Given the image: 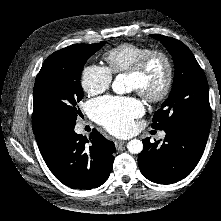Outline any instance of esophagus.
Instances as JSON below:
<instances>
[{
    "mask_svg": "<svg viewBox=\"0 0 221 221\" xmlns=\"http://www.w3.org/2000/svg\"><path fill=\"white\" fill-rule=\"evenodd\" d=\"M114 143H115V147L119 149L122 145L125 144V141L116 140Z\"/></svg>",
    "mask_w": 221,
    "mask_h": 221,
    "instance_id": "34e87169",
    "label": "esophagus"
}]
</instances>
